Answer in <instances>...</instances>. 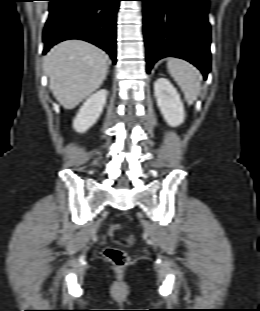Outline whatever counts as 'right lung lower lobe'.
I'll return each mask as SVG.
<instances>
[{
    "label": "right lung lower lobe",
    "mask_w": 260,
    "mask_h": 311,
    "mask_svg": "<svg viewBox=\"0 0 260 311\" xmlns=\"http://www.w3.org/2000/svg\"><path fill=\"white\" fill-rule=\"evenodd\" d=\"M43 54L67 39L88 41L116 63V15L121 0H49Z\"/></svg>",
    "instance_id": "98d812e1"
}]
</instances>
